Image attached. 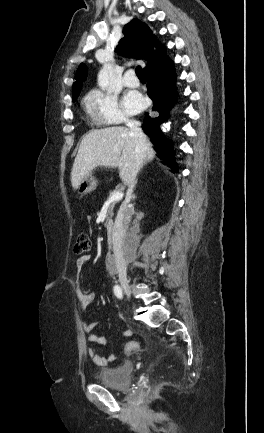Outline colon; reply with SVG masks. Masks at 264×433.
Wrapping results in <instances>:
<instances>
[{
	"mask_svg": "<svg viewBox=\"0 0 264 433\" xmlns=\"http://www.w3.org/2000/svg\"><path fill=\"white\" fill-rule=\"evenodd\" d=\"M92 248V240L87 233H80L77 236L74 252L77 254H86ZM139 349V344L135 341H129L125 345L126 353L136 352Z\"/></svg>",
	"mask_w": 264,
	"mask_h": 433,
	"instance_id": "obj_1",
	"label": "colon"
}]
</instances>
